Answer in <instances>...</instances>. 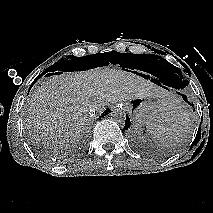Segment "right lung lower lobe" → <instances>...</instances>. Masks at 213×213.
Masks as SVG:
<instances>
[{"label": "right lung lower lobe", "mask_w": 213, "mask_h": 213, "mask_svg": "<svg viewBox=\"0 0 213 213\" xmlns=\"http://www.w3.org/2000/svg\"><path fill=\"white\" fill-rule=\"evenodd\" d=\"M52 74H60V72H57V73H49V74H47V76L52 75ZM38 78H39V77H38ZM38 78H36V80H37ZM36 80L32 83V85L36 82ZM109 111H110L109 109H107L106 111H104V113H103L102 116L106 115L105 113H108ZM68 157H69V156H68Z\"/></svg>", "instance_id": "1"}]
</instances>
